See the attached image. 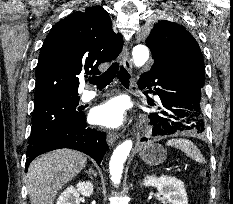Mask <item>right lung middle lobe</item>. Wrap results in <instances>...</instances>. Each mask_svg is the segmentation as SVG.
<instances>
[{"mask_svg": "<svg viewBox=\"0 0 233 204\" xmlns=\"http://www.w3.org/2000/svg\"><path fill=\"white\" fill-rule=\"evenodd\" d=\"M79 98V96H60L34 103L29 146L35 145L82 115L83 112L77 108Z\"/></svg>", "mask_w": 233, "mask_h": 204, "instance_id": "right-lung-middle-lobe-1", "label": "right lung middle lobe"}]
</instances>
